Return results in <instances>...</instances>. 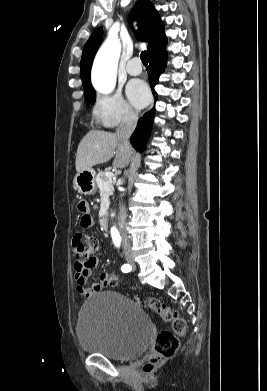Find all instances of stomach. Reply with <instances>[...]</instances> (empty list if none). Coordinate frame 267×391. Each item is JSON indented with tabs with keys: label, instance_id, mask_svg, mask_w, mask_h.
I'll return each instance as SVG.
<instances>
[{
	"label": "stomach",
	"instance_id": "obj_1",
	"mask_svg": "<svg viewBox=\"0 0 267 391\" xmlns=\"http://www.w3.org/2000/svg\"><path fill=\"white\" fill-rule=\"evenodd\" d=\"M96 172L93 169L84 170L76 174L73 180V188L83 195H91L96 192Z\"/></svg>",
	"mask_w": 267,
	"mask_h": 391
}]
</instances>
